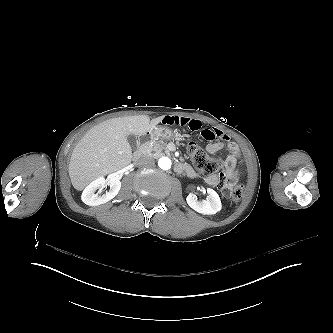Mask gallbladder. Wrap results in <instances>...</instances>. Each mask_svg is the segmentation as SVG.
I'll use <instances>...</instances> for the list:
<instances>
[{"label": "gallbladder", "instance_id": "gallbladder-1", "mask_svg": "<svg viewBox=\"0 0 333 333\" xmlns=\"http://www.w3.org/2000/svg\"><path fill=\"white\" fill-rule=\"evenodd\" d=\"M127 139L132 150H137V138L134 135H129Z\"/></svg>", "mask_w": 333, "mask_h": 333}]
</instances>
